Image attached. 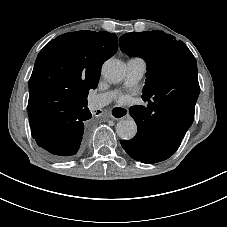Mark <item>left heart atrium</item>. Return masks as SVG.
<instances>
[{
    "mask_svg": "<svg viewBox=\"0 0 227 227\" xmlns=\"http://www.w3.org/2000/svg\"><path fill=\"white\" fill-rule=\"evenodd\" d=\"M126 100H127L126 98L123 99V101H126Z\"/></svg>",
    "mask_w": 227,
    "mask_h": 227,
    "instance_id": "obj_1",
    "label": "left heart atrium"
}]
</instances>
